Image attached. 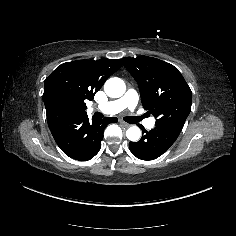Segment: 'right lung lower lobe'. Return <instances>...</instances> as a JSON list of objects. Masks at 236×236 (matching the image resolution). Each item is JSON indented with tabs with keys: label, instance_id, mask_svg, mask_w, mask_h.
I'll list each match as a JSON object with an SVG mask.
<instances>
[{
	"label": "right lung lower lobe",
	"instance_id": "98d812e1",
	"mask_svg": "<svg viewBox=\"0 0 236 236\" xmlns=\"http://www.w3.org/2000/svg\"><path fill=\"white\" fill-rule=\"evenodd\" d=\"M117 121L116 117L89 121L86 113L48 125L57 145L68 157L87 161L99 152L104 128Z\"/></svg>",
	"mask_w": 236,
	"mask_h": 236
}]
</instances>
